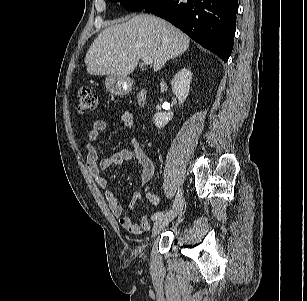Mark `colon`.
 <instances>
[{
	"instance_id": "obj_1",
	"label": "colon",
	"mask_w": 307,
	"mask_h": 301,
	"mask_svg": "<svg viewBox=\"0 0 307 301\" xmlns=\"http://www.w3.org/2000/svg\"><path fill=\"white\" fill-rule=\"evenodd\" d=\"M77 109L80 113L94 112L99 107V98L90 89H81L76 94Z\"/></svg>"
}]
</instances>
